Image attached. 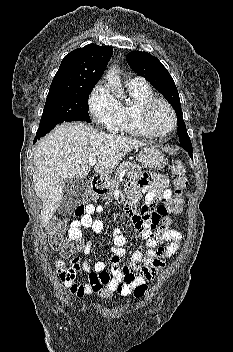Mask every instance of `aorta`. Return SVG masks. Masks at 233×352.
Returning a JSON list of instances; mask_svg holds the SVG:
<instances>
[{
  "label": "aorta",
  "instance_id": "aorta-1",
  "mask_svg": "<svg viewBox=\"0 0 233 352\" xmlns=\"http://www.w3.org/2000/svg\"><path fill=\"white\" fill-rule=\"evenodd\" d=\"M106 79L108 81V84L111 88L112 93L118 99L126 98L122 84H121L120 77L118 75V69L111 67L106 73Z\"/></svg>",
  "mask_w": 233,
  "mask_h": 352
}]
</instances>
